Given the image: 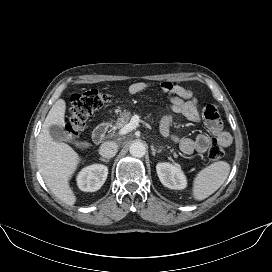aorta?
Returning a JSON list of instances; mask_svg holds the SVG:
<instances>
[{"label":"aorta","instance_id":"obj_1","mask_svg":"<svg viewBox=\"0 0 272 272\" xmlns=\"http://www.w3.org/2000/svg\"><path fill=\"white\" fill-rule=\"evenodd\" d=\"M129 152L132 156L141 158L146 153V148L141 142H134L130 145Z\"/></svg>","mask_w":272,"mask_h":272}]
</instances>
